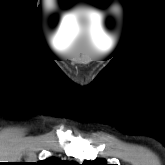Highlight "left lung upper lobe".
Wrapping results in <instances>:
<instances>
[{"instance_id": "obj_1", "label": "left lung upper lobe", "mask_w": 165, "mask_h": 165, "mask_svg": "<svg viewBox=\"0 0 165 165\" xmlns=\"http://www.w3.org/2000/svg\"><path fill=\"white\" fill-rule=\"evenodd\" d=\"M83 165H108L105 159H96L94 161H85Z\"/></svg>"}]
</instances>
